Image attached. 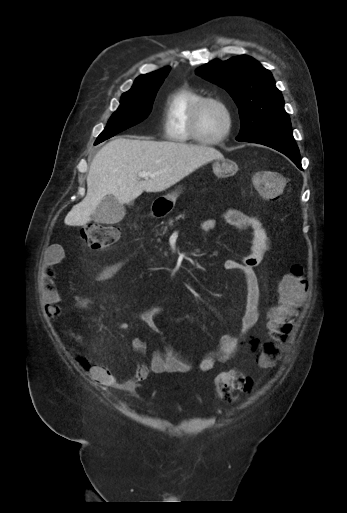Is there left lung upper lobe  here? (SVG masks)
Instances as JSON below:
<instances>
[{
  "label": "left lung upper lobe",
  "mask_w": 347,
  "mask_h": 513,
  "mask_svg": "<svg viewBox=\"0 0 347 513\" xmlns=\"http://www.w3.org/2000/svg\"><path fill=\"white\" fill-rule=\"evenodd\" d=\"M196 73L224 88L239 108L241 129L238 141H248L265 133L291 129L284 100L272 74L249 56L227 61L213 60Z\"/></svg>",
  "instance_id": "left-lung-upper-lobe-1"
}]
</instances>
